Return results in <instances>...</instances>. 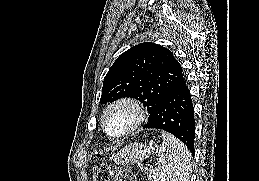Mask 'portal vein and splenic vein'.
I'll list each match as a JSON object with an SVG mask.
<instances>
[{"label": "portal vein and splenic vein", "mask_w": 259, "mask_h": 181, "mask_svg": "<svg viewBox=\"0 0 259 181\" xmlns=\"http://www.w3.org/2000/svg\"><path fill=\"white\" fill-rule=\"evenodd\" d=\"M145 172H147L148 171V167H144V168H142Z\"/></svg>", "instance_id": "obj_1"}]
</instances>
